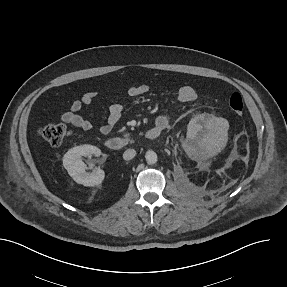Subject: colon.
<instances>
[{"mask_svg": "<svg viewBox=\"0 0 287 287\" xmlns=\"http://www.w3.org/2000/svg\"><path fill=\"white\" fill-rule=\"evenodd\" d=\"M229 108L236 115H241L243 113L244 102L239 93L231 95L229 98ZM70 134V129L63 124H48L37 129V136L52 146L63 145Z\"/></svg>", "mask_w": 287, "mask_h": 287, "instance_id": "5ec220e1", "label": "colon"}]
</instances>
